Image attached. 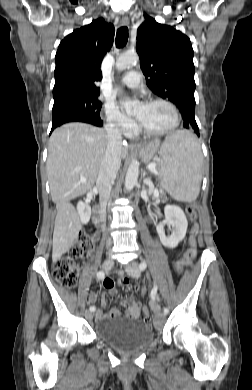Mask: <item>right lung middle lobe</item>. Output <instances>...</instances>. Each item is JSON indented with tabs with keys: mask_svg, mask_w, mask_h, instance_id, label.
Instances as JSON below:
<instances>
[{
	"mask_svg": "<svg viewBox=\"0 0 252 390\" xmlns=\"http://www.w3.org/2000/svg\"><path fill=\"white\" fill-rule=\"evenodd\" d=\"M98 95H77L54 101L53 118L62 115H80L94 120L100 119L101 102Z\"/></svg>",
	"mask_w": 252,
	"mask_h": 390,
	"instance_id": "right-lung-middle-lobe-1",
	"label": "right lung middle lobe"
}]
</instances>
